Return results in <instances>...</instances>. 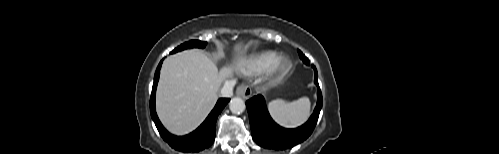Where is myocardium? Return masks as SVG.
I'll return each mask as SVG.
<instances>
[{"label": "myocardium", "instance_id": "f54148a6", "mask_svg": "<svg viewBox=\"0 0 499 154\" xmlns=\"http://www.w3.org/2000/svg\"><path fill=\"white\" fill-rule=\"evenodd\" d=\"M290 68L291 63L287 57H276L268 69V76L273 80H278L284 77L289 72Z\"/></svg>", "mask_w": 499, "mask_h": 154}]
</instances>
